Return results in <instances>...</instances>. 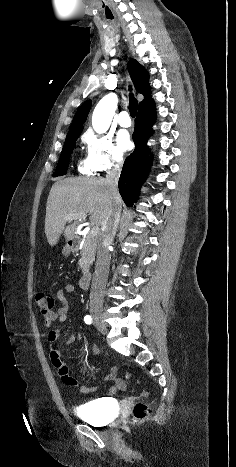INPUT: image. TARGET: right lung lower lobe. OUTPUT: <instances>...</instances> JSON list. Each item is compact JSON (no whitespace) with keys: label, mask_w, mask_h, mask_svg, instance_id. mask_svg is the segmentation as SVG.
Listing matches in <instances>:
<instances>
[{"label":"right lung lower lobe","mask_w":236,"mask_h":467,"mask_svg":"<svg viewBox=\"0 0 236 467\" xmlns=\"http://www.w3.org/2000/svg\"><path fill=\"white\" fill-rule=\"evenodd\" d=\"M155 120L156 112L153 101L149 105L138 109L133 133L136 148L126 158L118 184L119 192L128 207L133 206V203L136 202L139 189L150 169L151 157H147L150 152L147 140L153 134L152 125Z\"/></svg>","instance_id":"98d812e1"}]
</instances>
